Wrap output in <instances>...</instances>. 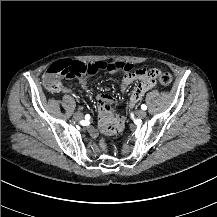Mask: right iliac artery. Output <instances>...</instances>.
Here are the masks:
<instances>
[{"label":"right iliac artery","mask_w":217,"mask_h":217,"mask_svg":"<svg viewBox=\"0 0 217 217\" xmlns=\"http://www.w3.org/2000/svg\"><path fill=\"white\" fill-rule=\"evenodd\" d=\"M85 120L86 121H91L92 120V115L91 114H86L85 115Z\"/></svg>","instance_id":"82829eb1"}]
</instances>
